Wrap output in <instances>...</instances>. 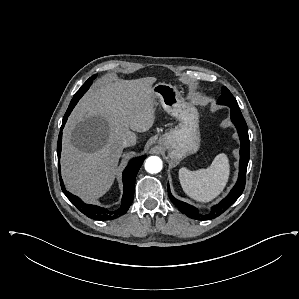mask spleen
Segmentation results:
<instances>
[{
	"label": "spleen",
	"instance_id": "1",
	"mask_svg": "<svg viewBox=\"0 0 299 299\" xmlns=\"http://www.w3.org/2000/svg\"><path fill=\"white\" fill-rule=\"evenodd\" d=\"M230 174L226 154L217 155L207 169L190 171L179 170V179L184 192L199 202H210L225 188Z\"/></svg>",
	"mask_w": 299,
	"mask_h": 299
}]
</instances>
